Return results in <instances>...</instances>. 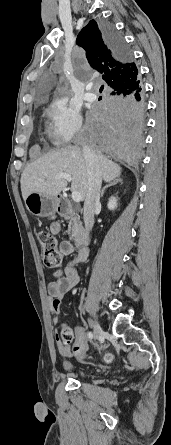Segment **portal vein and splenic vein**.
<instances>
[{
	"mask_svg": "<svg viewBox=\"0 0 171 445\" xmlns=\"http://www.w3.org/2000/svg\"><path fill=\"white\" fill-rule=\"evenodd\" d=\"M55 179H65L68 182L72 181L71 176L68 173H60L55 175ZM72 199L74 202H80L82 200V197L78 191H72Z\"/></svg>",
	"mask_w": 171,
	"mask_h": 445,
	"instance_id": "obj_1",
	"label": "portal vein and splenic vein"
}]
</instances>
